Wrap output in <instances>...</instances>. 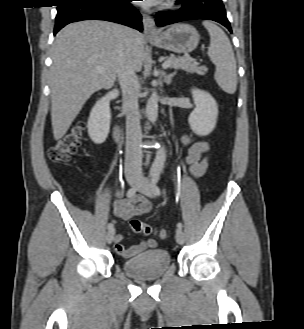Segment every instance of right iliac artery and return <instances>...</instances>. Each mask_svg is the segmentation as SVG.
I'll use <instances>...</instances> for the list:
<instances>
[{
	"mask_svg": "<svg viewBox=\"0 0 304 329\" xmlns=\"http://www.w3.org/2000/svg\"><path fill=\"white\" fill-rule=\"evenodd\" d=\"M137 189H138V188H137L136 186L130 188V189L128 190V192H127V197H128V198L133 197V196L135 195ZM107 228H108V229H112V228H113V224H112V223H109V224L107 225Z\"/></svg>",
	"mask_w": 304,
	"mask_h": 329,
	"instance_id": "82829eb1",
	"label": "right iliac artery"
}]
</instances>
